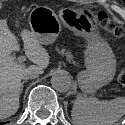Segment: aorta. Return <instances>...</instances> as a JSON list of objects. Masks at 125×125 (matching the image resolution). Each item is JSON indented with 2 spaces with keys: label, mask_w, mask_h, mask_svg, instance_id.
<instances>
[{
  "label": "aorta",
  "mask_w": 125,
  "mask_h": 125,
  "mask_svg": "<svg viewBox=\"0 0 125 125\" xmlns=\"http://www.w3.org/2000/svg\"><path fill=\"white\" fill-rule=\"evenodd\" d=\"M51 84L56 91L64 93L70 90L72 81L67 72L58 71L52 76Z\"/></svg>",
  "instance_id": "1"
}]
</instances>
